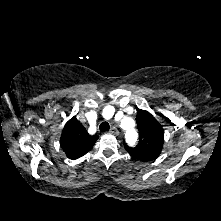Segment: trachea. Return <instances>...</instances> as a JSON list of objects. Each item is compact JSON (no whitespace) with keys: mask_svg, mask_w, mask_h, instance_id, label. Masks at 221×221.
<instances>
[{"mask_svg":"<svg viewBox=\"0 0 221 221\" xmlns=\"http://www.w3.org/2000/svg\"><path fill=\"white\" fill-rule=\"evenodd\" d=\"M101 132H106L110 129V126L107 122H102L99 126Z\"/></svg>","mask_w":221,"mask_h":221,"instance_id":"3493384b","label":"trachea"}]
</instances>
